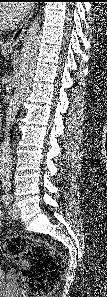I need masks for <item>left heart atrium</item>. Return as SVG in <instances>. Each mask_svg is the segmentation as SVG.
<instances>
[{
	"label": "left heart atrium",
	"instance_id": "obj_1",
	"mask_svg": "<svg viewBox=\"0 0 107 297\" xmlns=\"http://www.w3.org/2000/svg\"><path fill=\"white\" fill-rule=\"evenodd\" d=\"M28 5L25 3L9 4L3 10L4 17L10 23L19 21L27 12Z\"/></svg>",
	"mask_w": 107,
	"mask_h": 297
}]
</instances>
